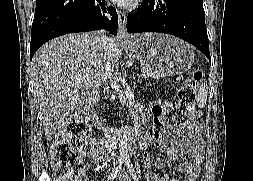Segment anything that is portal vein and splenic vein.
Masks as SVG:
<instances>
[{
	"mask_svg": "<svg viewBox=\"0 0 253 181\" xmlns=\"http://www.w3.org/2000/svg\"><path fill=\"white\" fill-rule=\"evenodd\" d=\"M111 86H112L113 88H115V89H118V88H119V86L117 85L116 82H112V83H111Z\"/></svg>",
	"mask_w": 253,
	"mask_h": 181,
	"instance_id": "obj_1",
	"label": "portal vein and splenic vein"
}]
</instances>
